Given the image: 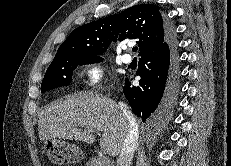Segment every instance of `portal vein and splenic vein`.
<instances>
[{"label":"portal vein and splenic vein","mask_w":231,"mask_h":166,"mask_svg":"<svg viewBox=\"0 0 231 166\" xmlns=\"http://www.w3.org/2000/svg\"><path fill=\"white\" fill-rule=\"evenodd\" d=\"M102 163L109 166L110 165V159L108 157H102Z\"/></svg>","instance_id":"portal-vein-and-splenic-vein-1"}]
</instances>
